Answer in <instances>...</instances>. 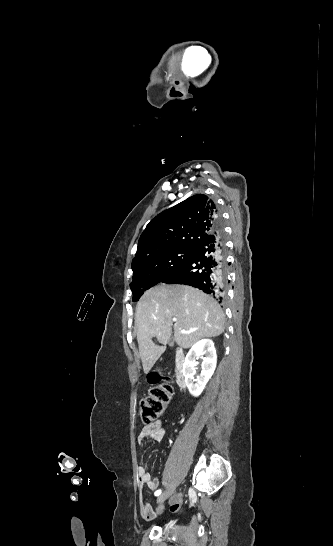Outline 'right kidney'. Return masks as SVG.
<instances>
[{
    "label": "right kidney",
    "instance_id": "obj_1",
    "mask_svg": "<svg viewBox=\"0 0 333 546\" xmlns=\"http://www.w3.org/2000/svg\"><path fill=\"white\" fill-rule=\"evenodd\" d=\"M206 354L202 362V373L198 379H194L196 373V358ZM217 363V355L212 340L203 339L195 343L186 355L182 367V374L185 378V384L193 396H199L205 388L207 382L213 375Z\"/></svg>",
    "mask_w": 333,
    "mask_h": 546
}]
</instances>
